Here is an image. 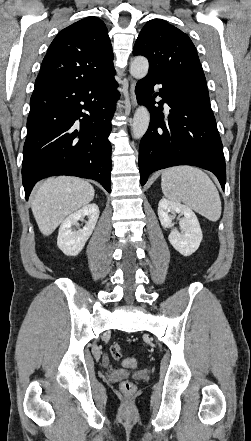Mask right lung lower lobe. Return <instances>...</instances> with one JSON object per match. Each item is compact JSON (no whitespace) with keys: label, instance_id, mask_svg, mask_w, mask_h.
Returning a JSON list of instances; mask_svg holds the SVG:
<instances>
[{"label":"right lung lower lobe","instance_id":"98d812e1","mask_svg":"<svg viewBox=\"0 0 251 441\" xmlns=\"http://www.w3.org/2000/svg\"><path fill=\"white\" fill-rule=\"evenodd\" d=\"M115 70L94 79L35 88L23 148L25 197L54 175L98 181L111 192V119L119 93Z\"/></svg>","mask_w":251,"mask_h":441}]
</instances>
